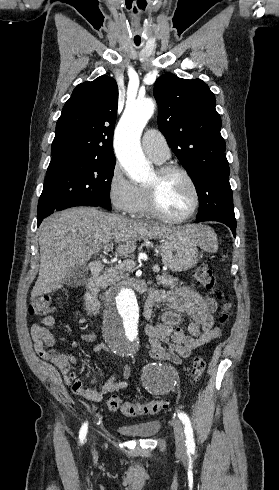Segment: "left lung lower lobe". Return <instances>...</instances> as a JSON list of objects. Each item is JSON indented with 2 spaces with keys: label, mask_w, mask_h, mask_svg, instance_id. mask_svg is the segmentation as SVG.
Returning a JSON list of instances; mask_svg holds the SVG:
<instances>
[{
  "label": "left lung lower lobe",
  "mask_w": 279,
  "mask_h": 490,
  "mask_svg": "<svg viewBox=\"0 0 279 490\" xmlns=\"http://www.w3.org/2000/svg\"><path fill=\"white\" fill-rule=\"evenodd\" d=\"M203 221L222 222V223L226 224L228 227H230L231 231L233 232L234 237L236 236V221H229V220H225V219L217 218V217L208 218V219H205ZM200 222H202V221H200Z\"/></svg>",
  "instance_id": "0a47b994"
}]
</instances>
